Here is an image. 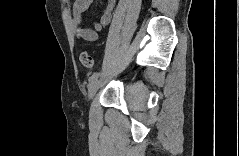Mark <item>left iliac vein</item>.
<instances>
[{"mask_svg": "<svg viewBox=\"0 0 239 156\" xmlns=\"http://www.w3.org/2000/svg\"><path fill=\"white\" fill-rule=\"evenodd\" d=\"M101 84V79H96L90 86V90L88 93V100H92Z\"/></svg>", "mask_w": 239, "mask_h": 156, "instance_id": "1", "label": "left iliac vein"}]
</instances>
